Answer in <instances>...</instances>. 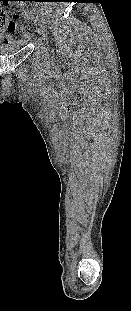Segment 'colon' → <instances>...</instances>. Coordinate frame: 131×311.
<instances>
[{"label":"colon","mask_w":131,"mask_h":311,"mask_svg":"<svg viewBox=\"0 0 131 311\" xmlns=\"http://www.w3.org/2000/svg\"><path fill=\"white\" fill-rule=\"evenodd\" d=\"M11 24V18L10 15L7 13H3L0 11V29L7 27ZM36 28V25L30 22H23L21 23L18 27L17 30H22V31H32L33 29Z\"/></svg>","instance_id":"colon-1"}]
</instances>
